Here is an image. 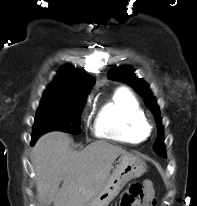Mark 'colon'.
<instances>
[{
	"mask_svg": "<svg viewBox=\"0 0 197 206\" xmlns=\"http://www.w3.org/2000/svg\"><path fill=\"white\" fill-rule=\"evenodd\" d=\"M151 188L143 187L140 184L132 185L124 195L121 206H133L134 204L141 203L143 200L153 202V194L150 193Z\"/></svg>",
	"mask_w": 197,
	"mask_h": 206,
	"instance_id": "colon-1",
	"label": "colon"
}]
</instances>
